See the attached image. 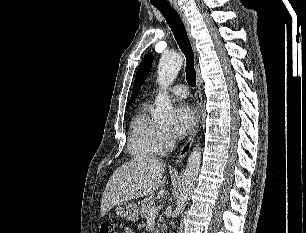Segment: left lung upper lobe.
<instances>
[{
	"instance_id": "5c2ea615",
	"label": "left lung upper lobe",
	"mask_w": 306,
	"mask_h": 233,
	"mask_svg": "<svg viewBox=\"0 0 306 233\" xmlns=\"http://www.w3.org/2000/svg\"><path fill=\"white\" fill-rule=\"evenodd\" d=\"M152 61H153V55L152 54H148L144 57V59L142 60V62L140 63L137 73H136V78H135V82L133 85V91H132V96L130 98V101L127 105V108L129 107V105L134 101V99L137 97L138 92L141 88L142 83L144 82L150 67L152 65Z\"/></svg>"
}]
</instances>
